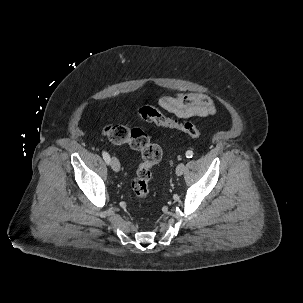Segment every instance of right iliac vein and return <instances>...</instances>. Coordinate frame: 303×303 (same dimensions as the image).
<instances>
[{
    "label": "right iliac vein",
    "instance_id": "1",
    "mask_svg": "<svg viewBox=\"0 0 303 303\" xmlns=\"http://www.w3.org/2000/svg\"><path fill=\"white\" fill-rule=\"evenodd\" d=\"M110 165L114 171L118 172L120 170V163L117 158L112 157L110 160Z\"/></svg>",
    "mask_w": 303,
    "mask_h": 303
}]
</instances>
